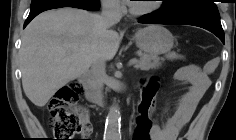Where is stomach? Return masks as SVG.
I'll list each match as a JSON object with an SVG mask.
<instances>
[{"instance_id": "0dacf381", "label": "stomach", "mask_w": 236, "mask_h": 140, "mask_svg": "<svg viewBox=\"0 0 236 140\" xmlns=\"http://www.w3.org/2000/svg\"><path fill=\"white\" fill-rule=\"evenodd\" d=\"M139 49L150 55L168 53L174 44L173 35L163 26L150 25L135 33Z\"/></svg>"}]
</instances>
